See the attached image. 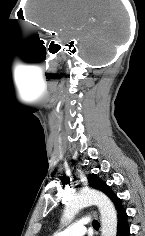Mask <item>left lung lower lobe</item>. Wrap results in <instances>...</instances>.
Returning a JSON list of instances; mask_svg holds the SVG:
<instances>
[{"label":"left lung lower lobe","instance_id":"1","mask_svg":"<svg viewBox=\"0 0 145 236\" xmlns=\"http://www.w3.org/2000/svg\"><path fill=\"white\" fill-rule=\"evenodd\" d=\"M118 215V226H117V236H129L130 228L127 222L126 211L122 208L117 210Z\"/></svg>","mask_w":145,"mask_h":236}]
</instances>
